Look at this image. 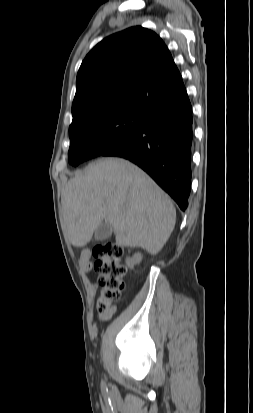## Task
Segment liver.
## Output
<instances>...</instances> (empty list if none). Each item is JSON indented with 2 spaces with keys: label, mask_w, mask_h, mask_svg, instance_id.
<instances>
[{
  "label": "liver",
  "mask_w": 253,
  "mask_h": 413,
  "mask_svg": "<svg viewBox=\"0 0 253 413\" xmlns=\"http://www.w3.org/2000/svg\"><path fill=\"white\" fill-rule=\"evenodd\" d=\"M63 217L72 245L84 247L101 222L116 244L157 254L170 237L176 210L169 196L140 168L122 158H103L70 179Z\"/></svg>",
  "instance_id": "liver-1"
}]
</instances>
